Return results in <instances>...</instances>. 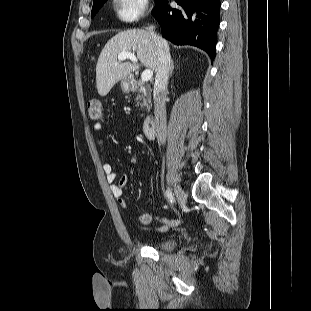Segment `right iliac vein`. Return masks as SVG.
<instances>
[{
	"mask_svg": "<svg viewBox=\"0 0 311 311\" xmlns=\"http://www.w3.org/2000/svg\"><path fill=\"white\" fill-rule=\"evenodd\" d=\"M174 192H175L179 205L183 206L186 202V193L179 185L174 186Z\"/></svg>",
	"mask_w": 311,
	"mask_h": 311,
	"instance_id": "1",
	"label": "right iliac vein"
}]
</instances>
